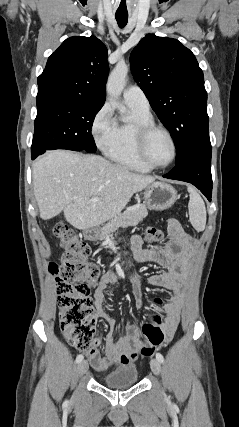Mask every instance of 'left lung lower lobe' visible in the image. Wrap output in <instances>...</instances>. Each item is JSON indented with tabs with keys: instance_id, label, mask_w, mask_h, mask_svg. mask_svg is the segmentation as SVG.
<instances>
[{
	"instance_id": "1",
	"label": "left lung lower lobe",
	"mask_w": 239,
	"mask_h": 427,
	"mask_svg": "<svg viewBox=\"0 0 239 427\" xmlns=\"http://www.w3.org/2000/svg\"><path fill=\"white\" fill-rule=\"evenodd\" d=\"M211 154V146L194 150L163 177L191 183L211 201Z\"/></svg>"
}]
</instances>
